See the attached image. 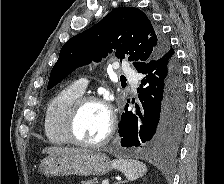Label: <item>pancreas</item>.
I'll return each mask as SVG.
<instances>
[{"mask_svg":"<svg viewBox=\"0 0 224 184\" xmlns=\"http://www.w3.org/2000/svg\"><path fill=\"white\" fill-rule=\"evenodd\" d=\"M82 184H95V181L90 179V180L82 182Z\"/></svg>","mask_w":224,"mask_h":184,"instance_id":"cf45deb5","label":"pancreas"}]
</instances>
